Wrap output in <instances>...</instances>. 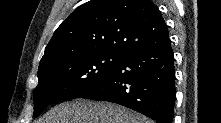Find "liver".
<instances>
[{"label": "liver", "instance_id": "6515ba94", "mask_svg": "<svg viewBox=\"0 0 221 123\" xmlns=\"http://www.w3.org/2000/svg\"><path fill=\"white\" fill-rule=\"evenodd\" d=\"M41 123H152V121L117 104L78 99L55 106Z\"/></svg>", "mask_w": 221, "mask_h": 123}]
</instances>
